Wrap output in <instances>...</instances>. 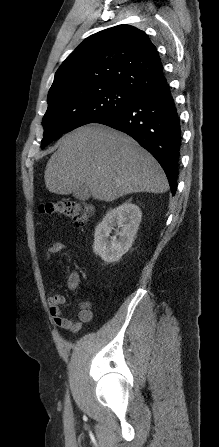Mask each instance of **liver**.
Here are the masks:
<instances>
[{
  "instance_id": "6515ba94",
  "label": "liver",
  "mask_w": 219,
  "mask_h": 447,
  "mask_svg": "<svg viewBox=\"0 0 219 447\" xmlns=\"http://www.w3.org/2000/svg\"><path fill=\"white\" fill-rule=\"evenodd\" d=\"M58 145L44 175L51 193L69 195L85 184L94 199L110 202L130 193L168 190L156 159L134 139L107 126L79 127Z\"/></svg>"
}]
</instances>
